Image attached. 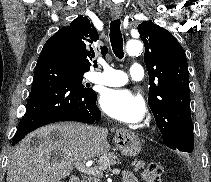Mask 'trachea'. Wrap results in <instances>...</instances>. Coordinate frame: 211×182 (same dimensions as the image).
Masks as SVG:
<instances>
[{"label": "trachea", "mask_w": 211, "mask_h": 182, "mask_svg": "<svg viewBox=\"0 0 211 182\" xmlns=\"http://www.w3.org/2000/svg\"><path fill=\"white\" fill-rule=\"evenodd\" d=\"M110 42L116 57L122 59L124 57V49L119 19L113 20L110 24Z\"/></svg>", "instance_id": "1"}]
</instances>
